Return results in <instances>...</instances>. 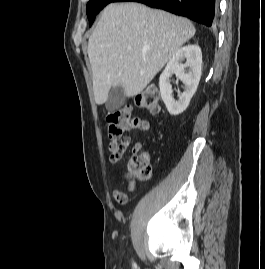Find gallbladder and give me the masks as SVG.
<instances>
[{"mask_svg":"<svg viewBox=\"0 0 265 269\" xmlns=\"http://www.w3.org/2000/svg\"><path fill=\"white\" fill-rule=\"evenodd\" d=\"M126 101V95L121 86H115L111 89L108 99L106 101V109L108 111H115L119 109Z\"/></svg>","mask_w":265,"mask_h":269,"instance_id":"1","label":"gallbladder"}]
</instances>
